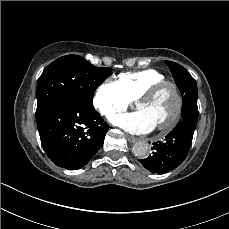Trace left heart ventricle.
Masks as SVG:
<instances>
[{"label": "left heart ventricle", "mask_w": 229, "mask_h": 229, "mask_svg": "<svg viewBox=\"0 0 229 229\" xmlns=\"http://www.w3.org/2000/svg\"><path fill=\"white\" fill-rule=\"evenodd\" d=\"M173 89L172 86H168L154 100L149 102L142 101L136 105L137 110L144 112L155 127L168 124L165 119L171 114L169 94Z\"/></svg>", "instance_id": "obj_1"}]
</instances>
